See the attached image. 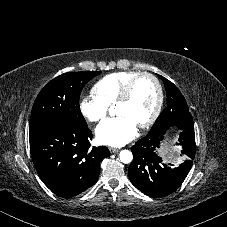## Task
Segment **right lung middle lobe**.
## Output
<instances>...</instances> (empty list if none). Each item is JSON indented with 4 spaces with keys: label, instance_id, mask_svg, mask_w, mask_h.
Instances as JSON below:
<instances>
[{
    "label": "right lung middle lobe",
    "instance_id": "dd1d6c3e",
    "mask_svg": "<svg viewBox=\"0 0 227 227\" xmlns=\"http://www.w3.org/2000/svg\"><path fill=\"white\" fill-rule=\"evenodd\" d=\"M98 71L69 72L51 80L38 94L30 117L29 133L54 123L87 127L80 111L79 96Z\"/></svg>",
    "mask_w": 227,
    "mask_h": 227
}]
</instances>
